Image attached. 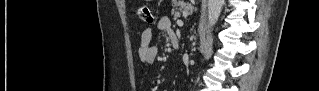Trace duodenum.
Returning <instances> with one entry per match:
<instances>
[{
	"label": "duodenum",
	"mask_w": 319,
	"mask_h": 91,
	"mask_svg": "<svg viewBox=\"0 0 319 91\" xmlns=\"http://www.w3.org/2000/svg\"><path fill=\"white\" fill-rule=\"evenodd\" d=\"M170 42H171L172 48L177 49L179 47L178 38L175 34L171 35Z\"/></svg>",
	"instance_id": "duodenum-1"
}]
</instances>
